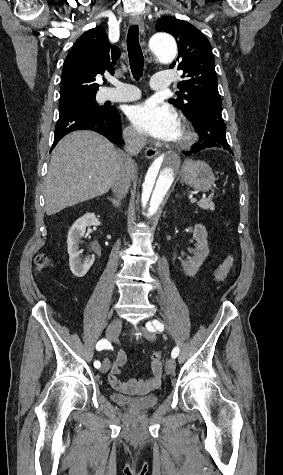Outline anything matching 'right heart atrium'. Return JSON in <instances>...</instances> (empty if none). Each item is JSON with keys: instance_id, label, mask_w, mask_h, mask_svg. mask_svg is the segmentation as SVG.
Returning <instances> with one entry per match:
<instances>
[{"instance_id": "right-heart-atrium-1", "label": "right heart atrium", "mask_w": 283, "mask_h": 475, "mask_svg": "<svg viewBox=\"0 0 283 475\" xmlns=\"http://www.w3.org/2000/svg\"><path fill=\"white\" fill-rule=\"evenodd\" d=\"M124 139L127 146L134 150H139L144 146V139L131 128L124 130Z\"/></svg>"}]
</instances>
